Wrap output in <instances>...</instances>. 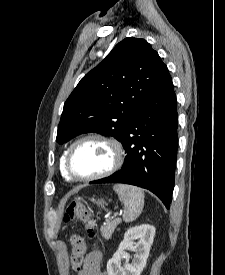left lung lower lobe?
I'll list each match as a JSON object with an SVG mask.
<instances>
[{"instance_id":"0a47b994","label":"left lung lower lobe","mask_w":225,"mask_h":275,"mask_svg":"<svg viewBox=\"0 0 225 275\" xmlns=\"http://www.w3.org/2000/svg\"><path fill=\"white\" fill-rule=\"evenodd\" d=\"M176 94L169 76L145 102L121 141L122 168L91 183H126L153 192L169 209L174 189L178 147Z\"/></svg>"}]
</instances>
